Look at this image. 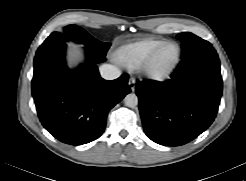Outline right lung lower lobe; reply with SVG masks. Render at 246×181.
Masks as SVG:
<instances>
[{"label": "right lung lower lobe", "mask_w": 246, "mask_h": 181, "mask_svg": "<svg viewBox=\"0 0 246 181\" xmlns=\"http://www.w3.org/2000/svg\"><path fill=\"white\" fill-rule=\"evenodd\" d=\"M65 50L60 42L36 54L32 95L46 130L63 143L81 145L103 133L108 112L130 92L128 75L104 80L97 64L105 60L88 53L85 63L70 71Z\"/></svg>", "instance_id": "1"}]
</instances>
